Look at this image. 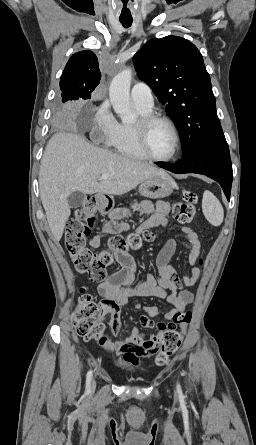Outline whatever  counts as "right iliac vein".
Segmentation results:
<instances>
[{
  "label": "right iliac vein",
  "instance_id": "1",
  "mask_svg": "<svg viewBox=\"0 0 256 445\" xmlns=\"http://www.w3.org/2000/svg\"><path fill=\"white\" fill-rule=\"evenodd\" d=\"M95 387H96V381H95V379H93L92 382H91L90 390L94 391Z\"/></svg>",
  "mask_w": 256,
  "mask_h": 445
}]
</instances>
